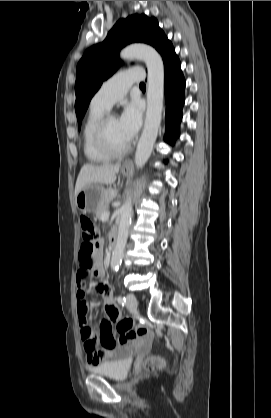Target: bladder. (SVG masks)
I'll return each mask as SVG.
<instances>
[{"mask_svg":"<svg viewBox=\"0 0 271 418\" xmlns=\"http://www.w3.org/2000/svg\"><path fill=\"white\" fill-rule=\"evenodd\" d=\"M131 362L132 359L130 353L125 352L114 359L104 361L96 366L91 367L90 371L94 374L114 381H121L129 372Z\"/></svg>","mask_w":271,"mask_h":418,"instance_id":"bladder-1","label":"bladder"}]
</instances>
